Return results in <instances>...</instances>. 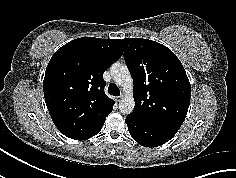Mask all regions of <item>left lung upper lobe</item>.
Instances as JSON below:
<instances>
[{"mask_svg": "<svg viewBox=\"0 0 236 178\" xmlns=\"http://www.w3.org/2000/svg\"><path fill=\"white\" fill-rule=\"evenodd\" d=\"M122 43L134 82L135 109L129 116L178 130L191 98L183 65L169 48L155 41L125 38Z\"/></svg>", "mask_w": 236, "mask_h": 178, "instance_id": "obj_1", "label": "left lung upper lobe"}]
</instances>
